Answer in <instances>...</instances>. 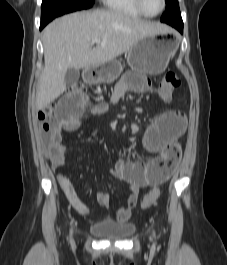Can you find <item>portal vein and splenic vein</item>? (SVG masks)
I'll return each instance as SVG.
<instances>
[{"label":"portal vein and splenic vein","mask_w":227,"mask_h":265,"mask_svg":"<svg viewBox=\"0 0 227 265\" xmlns=\"http://www.w3.org/2000/svg\"><path fill=\"white\" fill-rule=\"evenodd\" d=\"M100 42H101L100 39L95 38V39H92L91 45H93L95 43L99 44Z\"/></svg>","instance_id":"18ae733b"}]
</instances>
